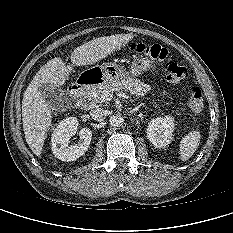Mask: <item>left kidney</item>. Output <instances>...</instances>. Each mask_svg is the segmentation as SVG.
<instances>
[{"label": "left kidney", "mask_w": 233, "mask_h": 233, "mask_svg": "<svg viewBox=\"0 0 233 233\" xmlns=\"http://www.w3.org/2000/svg\"><path fill=\"white\" fill-rule=\"evenodd\" d=\"M174 125L171 116L157 117L149 122L147 137L155 147H166L172 140Z\"/></svg>", "instance_id": "left-kidney-1"}]
</instances>
